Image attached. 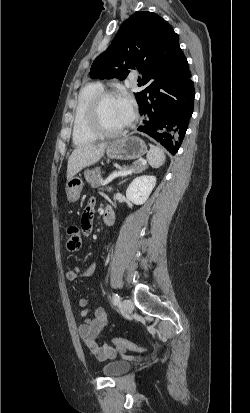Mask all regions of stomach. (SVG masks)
Listing matches in <instances>:
<instances>
[{
  "label": "stomach",
  "mask_w": 250,
  "mask_h": 413,
  "mask_svg": "<svg viewBox=\"0 0 250 413\" xmlns=\"http://www.w3.org/2000/svg\"><path fill=\"white\" fill-rule=\"evenodd\" d=\"M147 152L144 141L136 136L124 138L108 144L107 156L110 159L132 160L142 157ZM83 188V182L79 177H73L66 182V194L70 203L76 202Z\"/></svg>",
  "instance_id": "obj_1"
}]
</instances>
